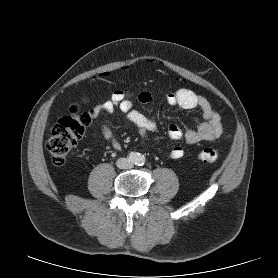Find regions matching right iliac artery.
<instances>
[{"instance_id":"obj_1","label":"right iliac artery","mask_w":278,"mask_h":278,"mask_svg":"<svg viewBox=\"0 0 278 278\" xmlns=\"http://www.w3.org/2000/svg\"><path fill=\"white\" fill-rule=\"evenodd\" d=\"M138 158H139V157H138V154L132 152V153H130V155H129V157H128V160H129L130 162H132V163H137Z\"/></svg>"}]
</instances>
